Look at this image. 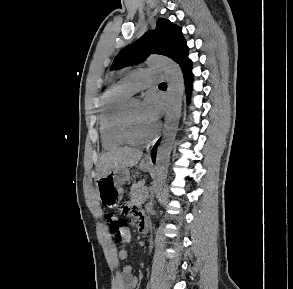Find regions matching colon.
Wrapping results in <instances>:
<instances>
[{
    "label": "colon",
    "mask_w": 293,
    "mask_h": 289,
    "mask_svg": "<svg viewBox=\"0 0 293 289\" xmlns=\"http://www.w3.org/2000/svg\"><path fill=\"white\" fill-rule=\"evenodd\" d=\"M120 211H121V214L126 216H129V215L137 216V214L140 212L134 206L128 203L123 204L121 206ZM105 220L112 235H114L117 238L124 237L126 222L123 218H121L116 213L108 212L105 216Z\"/></svg>",
    "instance_id": "5ec220e1"
}]
</instances>
